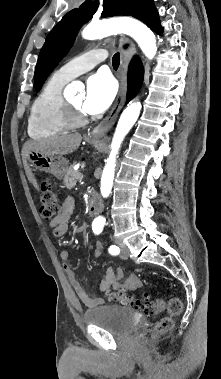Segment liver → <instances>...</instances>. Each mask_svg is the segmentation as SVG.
Segmentation results:
<instances>
[{"label":"liver","instance_id":"liver-1","mask_svg":"<svg viewBox=\"0 0 221 379\" xmlns=\"http://www.w3.org/2000/svg\"><path fill=\"white\" fill-rule=\"evenodd\" d=\"M82 141V136L79 133L55 136L42 140H29L25 142L22 148V159L26 170L27 177L37 187L36 180L29 169L27 160L28 154L31 151L42 152L46 155L63 156L71 154L78 149Z\"/></svg>","mask_w":221,"mask_h":379}]
</instances>
